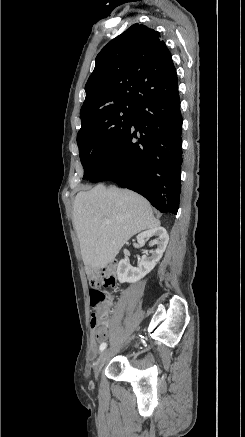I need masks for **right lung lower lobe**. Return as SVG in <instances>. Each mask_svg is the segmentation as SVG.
I'll use <instances>...</instances> for the list:
<instances>
[{
    "label": "right lung lower lobe",
    "instance_id": "right-lung-lower-lobe-1",
    "mask_svg": "<svg viewBox=\"0 0 245 437\" xmlns=\"http://www.w3.org/2000/svg\"><path fill=\"white\" fill-rule=\"evenodd\" d=\"M181 132L178 87L139 101L118 144L87 180L113 181L141 194L160 212L177 214Z\"/></svg>",
    "mask_w": 245,
    "mask_h": 437
}]
</instances>
